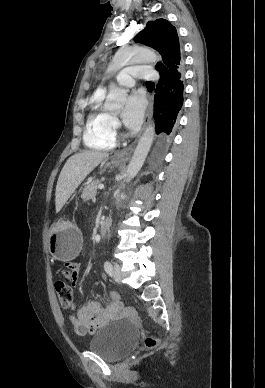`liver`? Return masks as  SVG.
Returning <instances> with one entry per match:
<instances>
[{
  "label": "liver",
  "mask_w": 265,
  "mask_h": 388,
  "mask_svg": "<svg viewBox=\"0 0 265 388\" xmlns=\"http://www.w3.org/2000/svg\"><path fill=\"white\" fill-rule=\"evenodd\" d=\"M108 152H95V150H84L81 154H74L67 160L57 182L55 192L56 214L62 210L64 204L80 186L84 178L101 164L102 160L108 158Z\"/></svg>",
  "instance_id": "obj_1"
}]
</instances>
